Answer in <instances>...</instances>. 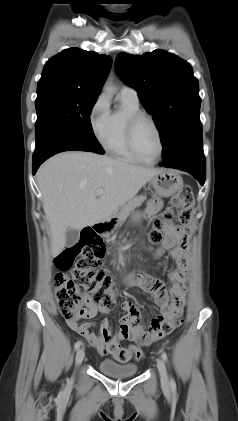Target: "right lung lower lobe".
Here are the masks:
<instances>
[{"label":"right lung lower lobe","mask_w":238,"mask_h":421,"mask_svg":"<svg viewBox=\"0 0 238 421\" xmlns=\"http://www.w3.org/2000/svg\"><path fill=\"white\" fill-rule=\"evenodd\" d=\"M71 150L91 151L90 148L72 138L70 135L58 129H48L36 142L33 154V174H35L39 166L52 155Z\"/></svg>","instance_id":"98d812e1"}]
</instances>
